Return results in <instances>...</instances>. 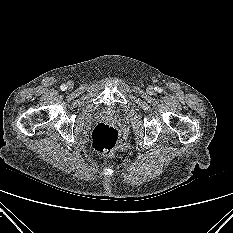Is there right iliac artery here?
<instances>
[{
  "mask_svg": "<svg viewBox=\"0 0 233 233\" xmlns=\"http://www.w3.org/2000/svg\"><path fill=\"white\" fill-rule=\"evenodd\" d=\"M60 88H61V90H63V91H64L67 87H66V85H64V84H63V85H61V87H60Z\"/></svg>",
  "mask_w": 233,
  "mask_h": 233,
  "instance_id": "obj_1",
  "label": "right iliac artery"
}]
</instances>
